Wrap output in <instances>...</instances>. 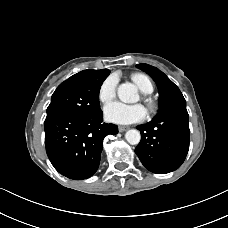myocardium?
Listing matches in <instances>:
<instances>
[{"label":"myocardium","instance_id":"myocardium-1","mask_svg":"<svg viewBox=\"0 0 228 228\" xmlns=\"http://www.w3.org/2000/svg\"><path fill=\"white\" fill-rule=\"evenodd\" d=\"M145 103L147 105V107L150 109V110H154L155 109V103L152 99L150 98H145Z\"/></svg>","mask_w":228,"mask_h":228}]
</instances>
